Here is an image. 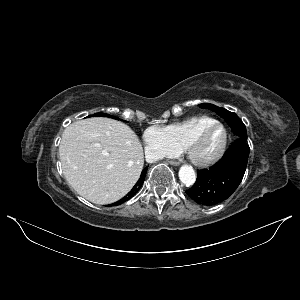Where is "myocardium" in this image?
<instances>
[{
  "label": "myocardium",
  "mask_w": 300,
  "mask_h": 300,
  "mask_svg": "<svg viewBox=\"0 0 300 300\" xmlns=\"http://www.w3.org/2000/svg\"><path fill=\"white\" fill-rule=\"evenodd\" d=\"M214 129H220L222 131V139L219 144L218 149L216 152L206 159H200L196 156V150L198 146L202 143V141L212 132ZM228 143V131L226 127L218 122L215 121L214 123L210 124L209 126L200 130L186 145L185 151L187 154L188 159L190 162L201 168L209 167L217 163L224 155Z\"/></svg>",
  "instance_id": "1"
}]
</instances>
